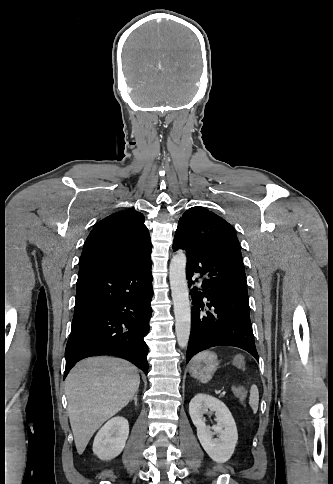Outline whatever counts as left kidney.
<instances>
[{"instance_id": "5707ae66", "label": "left kidney", "mask_w": 333, "mask_h": 484, "mask_svg": "<svg viewBox=\"0 0 333 484\" xmlns=\"http://www.w3.org/2000/svg\"><path fill=\"white\" fill-rule=\"evenodd\" d=\"M208 410L215 412L217 425L210 427L205 424L203 415L208 413ZM189 414L206 453L217 463L227 462L234 453L238 433L235 421L226 405L215 397L199 393L189 404ZM214 434L217 438H213Z\"/></svg>"}]
</instances>
